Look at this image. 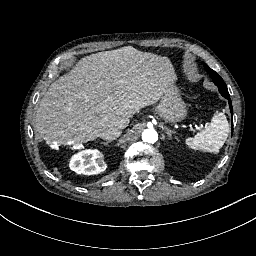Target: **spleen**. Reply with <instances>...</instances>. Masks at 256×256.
Instances as JSON below:
<instances>
[{"label":"spleen","mask_w":256,"mask_h":256,"mask_svg":"<svg viewBox=\"0 0 256 256\" xmlns=\"http://www.w3.org/2000/svg\"><path fill=\"white\" fill-rule=\"evenodd\" d=\"M230 131L229 123L223 114L215 115L212 122L193 138L186 139V145L194 150L218 153L227 140Z\"/></svg>","instance_id":"spleen-1"}]
</instances>
